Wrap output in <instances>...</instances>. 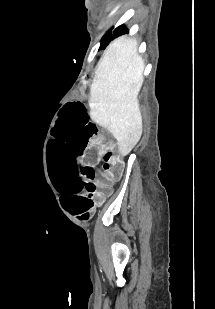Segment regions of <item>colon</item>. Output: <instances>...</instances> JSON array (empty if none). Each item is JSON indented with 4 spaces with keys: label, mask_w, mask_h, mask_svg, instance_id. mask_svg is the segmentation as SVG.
Masks as SVG:
<instances>
[{
    "label": "colon",
    "mask_w": 215,
    "mask_h": 309,
    "mask_svg": "<svg viewBox=\"0 0 215 309\" xmlns=\"http://www.w3.org/2000/svg\"><path fill=\"white\" fill-rule=\"evenodd\" d=\"M103 168L112 174H119L121 170V162L113 152H105L103 154Z\"/></svg>",
    "instance_id": "5ec220e1"
}]
</instances>
